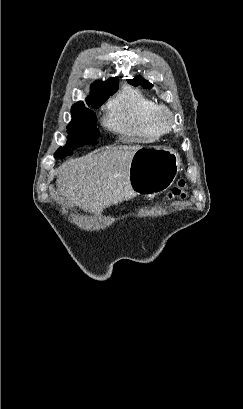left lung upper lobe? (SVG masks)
Returning a JSON list of instances; mask_svg holds the SVG:
<instances>
[{
  "instance_id": "left-lung-upper-lobe-1",
  "label": "left lung upper lobe",
  "mask_w": 243,
  "mask_h": 409,
  "mask_svg": "<svg viewBox=\"0 0 243 409\" xmlns=\"http://www.w3.org/2000/svg\"><path fill=\"white\" fill-rule=\"evenodd\" d=\"M127 81L133 85L138 86L139 84L144 85L145 87L151 88L153 85L142 77H135L134 79H127Z\"/></svg>"
}]
</instances>
